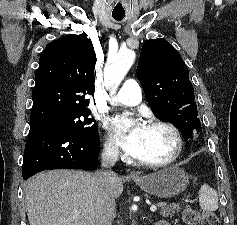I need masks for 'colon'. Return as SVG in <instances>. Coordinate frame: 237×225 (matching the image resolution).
<instances>
[{"label": "colon", "instance_id": "1", "mask_svg": "<svg viewBox=\"0 0 237 225\" xmlns=\"http://www.w3.org/2000/svg\"><path fill=\"white\" fill-rule=\"evenodd\" d=\"M183 221L188 225H220L219 219L213 213H200L191 207H187L182 213Z\"/></svg>", "mask_w": 237, "mask_h": 225}]
</instances>
